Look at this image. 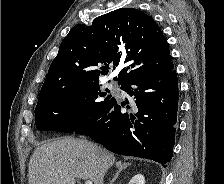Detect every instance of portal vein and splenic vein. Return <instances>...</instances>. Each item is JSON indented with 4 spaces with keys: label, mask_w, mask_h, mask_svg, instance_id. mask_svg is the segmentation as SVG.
I'll return each instance as SVG.
<instances>
[{
    "label": "portal vein and splenic vein",
    "mask_w": 224,
    "mask_h": 184,
    "mask_svg": "<svg viewBox=\"0 0 224 184\" xmlns=\"http://www.w3.org/2000/svg\"><path fill=\"white\" fill-rule=\"evenodd\" d=\"M85 184H92V181H90V180H86V181H85Z\"/></svg>",
    "instance_id": "obj_1"
}]
</instances>
